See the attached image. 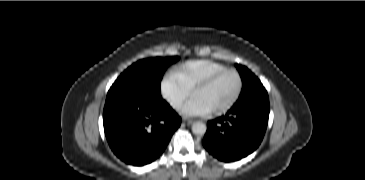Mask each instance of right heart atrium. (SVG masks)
I'll return each instance as SVG.
<instances>
[{
  "label": "right heart atrium",
  "mask_w": 365,
  "mask_h": 180,
  "mask_svg": "<svg viewBox=\"0 0 365 180\" xmlns=\"http://www.w3.org/2000/svg\"><path fill=\"white\" fill-rule=\"evenodd\" d=\"M161 93L174 109L180 108L188 99L190 92L180 83L176 73L167 74L161 82Z\"/></svg>",
  "instance_id": "1"
}]
</instances>
